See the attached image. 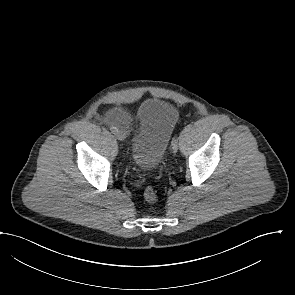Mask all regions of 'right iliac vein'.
Returning <instances> with one entry per match:
<instances>
[{"label":"right iliac vein","instance_id":"63e3f726","mask_svg":"<svg viewBox=\"0 0 295 295\" xmlns=\"http://www.w3.org/2000/svg\"><path fill=\"white\" fill-rule=\"evenodd\" d=\"M115 136H116V138L119 140V141H124L125 140V138H126V136H125V134L123 133V131H117L116 133H115Z\"/></svg>","mask_w":295,"mask_h":295}]
</instances>
